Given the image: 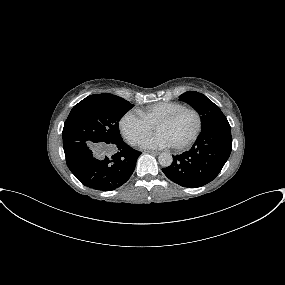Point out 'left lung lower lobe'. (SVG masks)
<instances>
[{"mask_svg":"<svg viewBox=\"0 0 285 285\" xmlns=\"http://www.w3.org/2000/svg\"><path fill=\"white\" fill-rule=\"evenodd\" d=\"M232 137L229 124L202 128L193 147L181 155L173 156L170 166L163 173L183 187H201L220 173L230 156Z\"/></svg>","mask_w":285,"mask_h":285,"instance_id":"0a47b994","label":"left lung lower lobe"}]
</instances>
